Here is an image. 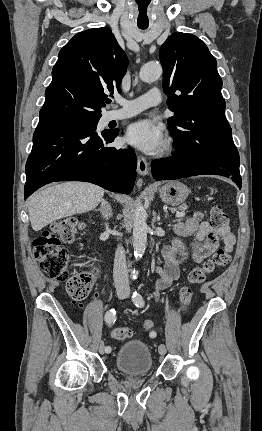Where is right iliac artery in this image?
<instances>
[{
	"mask_svg": "<svg viewBox=\"0 0 262 431\" xmlns=\"http://www.w3.org/2000/svg\"><path fill=\"white\" fill-rule=\"evenodd\" d=\"M104 320H105L106 324H108V325L114 324L115 321H116V311H115V309L108 310L105 313ZM106 351L110 352L111 348L110 347H106Z\"/></svg>",
	"mask_w": 262,
	"mask_h": 431,
	"instance_id": "right-iliac-artery-1",
	"label": "right iliac artery"
}]
</instances>
